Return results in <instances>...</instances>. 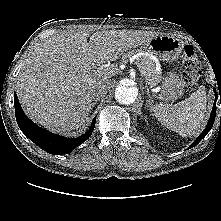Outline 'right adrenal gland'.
Here are the masks:
<instances>
[{
  "label": "right adrenal gland",
  "instance_id": "2a0ac1e0",
  "mask_svg": "<svg viewBox=\"0 0 221 221\" xmlns=\"http://www.w3.org/2000/svg\"><path fill=\"white\" fill-rule=\"evenodd\" d=\"M96 102H97V100H95V102H93V103H92V107H94V106H95Z\"/></svg>",
  "mask_w": 221,
  "mask_h": 221
}]
</instances>
